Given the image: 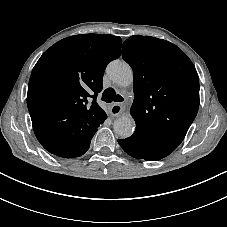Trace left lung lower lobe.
<instances>
[{
	"instance_id": "obj_1",
	"label": "left lung lower lobe",
	"mask_w": 227,
	"mask_h": 227,
	"mask_svg": "<svg viewBox=\"0 0 227 227\" xmlns=\"http://www.w3.org/2000/svg\"><path fill=\"white\" fill-rule=\"evenodd\" d=\"M118 142L127 154L136 159L159 160L171 153L140 134H133L126 139H119Z\"/></svg>"
}]
</instances>
